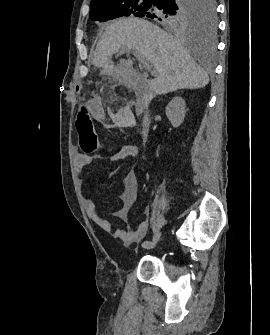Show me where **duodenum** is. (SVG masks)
I'll list each match as a JSON object with an SVG mask.
<instances>
[{
	"label": "duodenum",
	"mask_w": 270,
	"mask_h": 335,
	"mask_svg": "<svg viewBox=\"0 0 270 335\" xmlns=\"http://www.w3.org/2000/svg\"><path fill=\"white\" fill-rule=\"evenodd\" d=\"M151 119L148 114L144 115L143 121H142V131H143V137L146 138L149 133Z\"/></svg>",
	"instance_id": "duodenum-1"
}]
</instances>
